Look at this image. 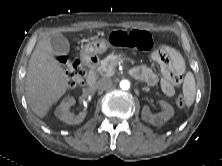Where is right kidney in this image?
Wrapping results in <instances>:
<instances>
[{
  "label": "right kidney",
  "mask_w": 222,
  "mask_h": 166,
  "mask_svg": "<svg viewBox=\"0 0 222 166\" xmlns=\"http://www.w3.org/2000/svg\"><path fill=\"white\" fill-rule=\"evenodd\" d=\"M75 99L73 97H68L63 99L61 104L55 110V116L61 121L67 124H79L81 123L87 114V111L84 109L79 113V115L74 116L70 111V106L75 104Z\"/></svg>",
  "instance_id": "obj_1"
}]
</instances>
